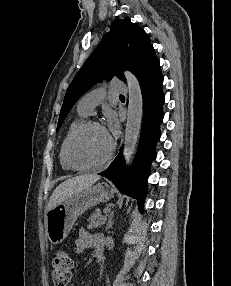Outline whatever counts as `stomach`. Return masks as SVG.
Here are the masks:
<instances>
[{
	"label": "stomach",
	"instance_id": "obj_1",
	"mask_svg": "<svg viewBox=\"0 0 231 286\" xmlns=\"http://www.w3.org/2000/svg\"><path fill=\"white\" fill-rule=\"evenodd\" d=\"M113 194L111 185L100 182L74 193L47 211L46 234L49 241L54 245L62 243L80 215L91 207L109 201Z\"/></svg>",
	"mask_w": 231,
	"mask_h": 286
}]
</instances>
